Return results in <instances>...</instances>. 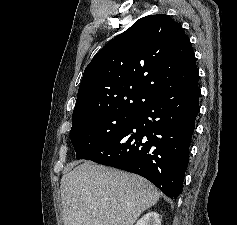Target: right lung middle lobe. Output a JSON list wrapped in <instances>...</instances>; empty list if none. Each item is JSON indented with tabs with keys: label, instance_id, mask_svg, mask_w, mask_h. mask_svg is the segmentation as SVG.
Instances as JSON below:
<instances>
[{
	"label": "right lung middle lobe",
	"instance_id": "1",
	"mask_svg": "<svg viewBox=\"0 0 237 225\" xmlns=\"http://www.w3.org/2000/svg\"><path fill=\"white\" fill-rule=\"evenodd\" d=\"M135 115L136 113H104L72 123L70 136L76 158L83 159L107 144L133 121Z\"/></svg>",
	"mask_w": 237,
	"mask_h": 225
}]
</instances>
